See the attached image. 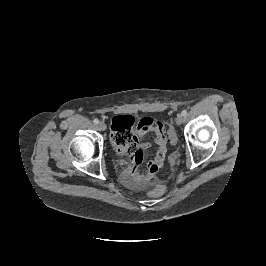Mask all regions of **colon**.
<instances>
[{
  "mask_svg": "<svg viewBox=\"0 0 266 266\" xmlns=\"http://www.w3.org/2000/svg\"><path fill=\"white\" fill-rule=\"evenodd\" d=\"M165 192H166L165 186L157 184L149 188L147 193L149 196L157 198L163 196Z\"/></svg>",
  "mask_w": 266,
  "mask_h": 266,
  "instance_id": "5ec220e1",
  "label": "colon"
}]
</instances>
